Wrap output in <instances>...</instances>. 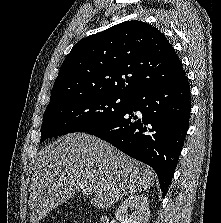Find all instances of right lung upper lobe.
Masks as SVG:
<instances>
[{
	"instance_id": "cb5924a9",
	"label": "right lung upper lobe",
	"mask_w": 221,
	"mask_h": 223,
	"mask_svg": "<svg viewBox=\"0 0 221 223\" xmlns=\"http://www.w3.org/2000/svg\"><path fill=\"white\" fill-rule=\"evenodd\" d=\"M184 75L163 33L141 21H126L74 45L55 80L50 103L83 94L132 98Z\"/></svg>"
}]
</instances>
